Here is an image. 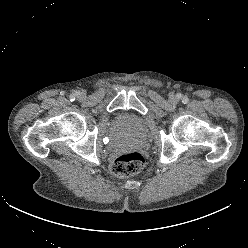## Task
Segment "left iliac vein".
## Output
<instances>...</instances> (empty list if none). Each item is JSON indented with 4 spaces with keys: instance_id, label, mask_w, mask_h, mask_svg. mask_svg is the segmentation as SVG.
I'll return each mask as SVG.
<instances>
[{
    "instance_id": "1",
    "label": "left iliac vein",
    "mask_w": 248,
    "mask_h": 248,
    "mask_svg": "<svg viewBox=\"0 0 248 248\" xmlns=\"http://www.w3.org/2000/svg\"><path fill=\"white\" fill-rule=\"evenodd\" d=\"M171 100H172V101H175V100H176V98H175V97H171Z\"/></svg>"
}]
</instances>
